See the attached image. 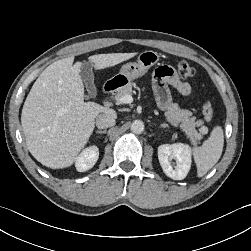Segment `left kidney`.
Returning a JSON list of instances; mask_svg holds the SVG:
<instances>
[{
  "instance_id": "obj_1",
  "label": "left kidney",
  "mask_w": 251,
  "mask_h": 251,
  "mask_svg": "<svg viewBox=\"0 0 251 251\" xmlns=\"http://www.w3.org/2000/svg\"><path fill=\"white\" fill-rule=\"evenodd\" d=\"M158 159L168 177L173 180H182L191 167V148L183 143L163 144L158 148Z\"/></svg>"
}]
</instances>
